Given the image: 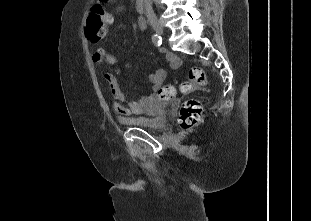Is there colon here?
<instances>
[{
    "label": "colon",
    "mask_w": 311,
    "mask_h": 221,
    "mask_svg": "<svg viewBox=\"0 0 311 221\" xmlns=\"http://www.w3.org/2000/svg\"><path fill=\"white\" fill-rule=\"evenodd\" d=\"M88 19L91 21L87 25L86 38L93 42L101 39L111 23L110 13L103 7L102 1L90 9ZM102 29V35L100 31ZM206 84V73L203 68L191 67L188 71V77L179 85V90L188 94L201 89ZM176 89L173 85H167L165 88H158L157 99H170L175 94ZM203 120V108L199 101L194 99L185 100L180 109L178 122L182 129L191 130L198 126Z\"/></svg>",
    "instance_id": "5ec220e1"
}]
</instances>
